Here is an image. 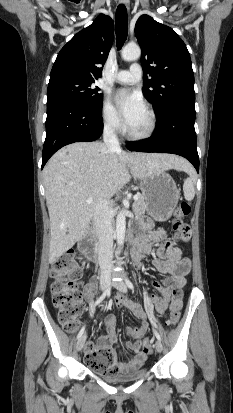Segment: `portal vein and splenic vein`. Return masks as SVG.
I'll return each instance as SVG.
<instances>
[{"label": "portal vein and splenic vein", "instance_id": "1", "mask_svg": "<svg viewBox=\"0 0 233 413\" xmlns=\"http://www.w3.org/2000/svg\"><path fill=\"white\" fill-rule=\"evenodd\" d=\"M138 198H139L138 195H134V196H133V199H134V200H138ZM92 201H93V198H92V197H90V198L87 199V202H88V203H90V202H92Z\"/></svg>", "mask_w": 233, "mask_h": 413}]
</instances>
